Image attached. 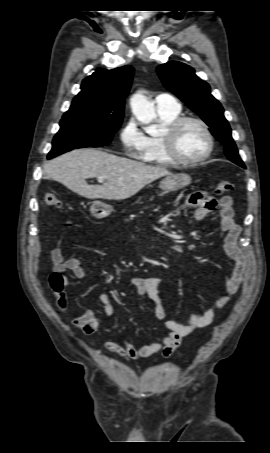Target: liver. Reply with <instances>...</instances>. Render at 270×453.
I'll list each match as a JSON object with an SVG mask.
<instances>
[{"label":"liver","instance_id":"1","mask_svg":"<svg viewBox=\"0 0 270 453\" xmlns=\"http://www.w3.org/2000/svg\"><path fill=\"white\" fill-rule=\"evenodd\" d=\"M51 178L87 199L123 200L147 184L171 174L163 166L118 157L94 148L76 149L47 163L44 168ZM103 177L102 185H88L87 178Z\"/></svg>","mask_w":270,"mask_h":453}]
</instances>
